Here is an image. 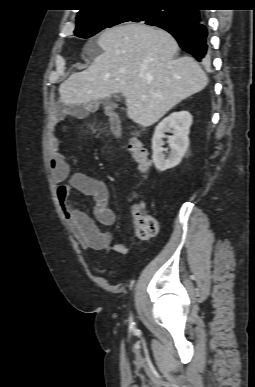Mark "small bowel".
Here are the masks:
<instances>
[{"label":"small bowel","mask_w":255,"mask_h":387,"mask_svg":"<svg viewBox=\"0 0 255 387\" xmlns=\"http://www.w3.org/2000/svg\"><path fill=\"white\" fill-rule=\"evenodd\" d=\"M63 117V110L54 111L49 165L59 183L56 194L65 224L84 249L127 254V246L122 243H113L111 234L102 231L95 222L96 220L107 226H112L116 222V214L109 206V190L106 184L84 173H71L69 165L60 152L61 138L57 134L56 126L63 120ZM112 128L115 133L118 132L116 122L112 124ZM73 190L93 198L95 220L74 207L70 198Z\"/></svg>","instance_id":"small-bowel-1"}]
</instances>
